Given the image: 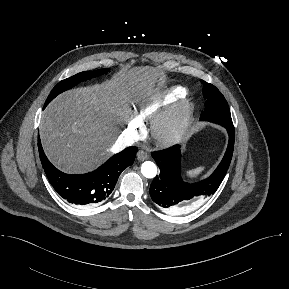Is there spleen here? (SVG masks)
<instances>
[{"label": "spleen", "instance_id": "obj_1", "mask_svg": "<svg viewBox=\"0 0 289 289\" xmlns=\"http://www.w3.org/2000/svg\"><path fill=\"white\" fill-rule=\"evenodd\" d=\"M204 170V167H198L196 169H192V170H189L186 172V175L189 177V178H195L197 177L199 174L202 173V171Z\"/></svg>", "mask_w": 289, "mask_h": 289}]
</instances>
